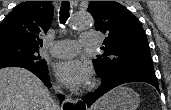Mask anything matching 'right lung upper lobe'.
<instances>
[{
	"label": "right lung upper lobe",
	"mask_w": 171,
	"mask_h": 110,
	"mask_svg": "<svg viewBox=\"0 0 171 110\" xmlns=\"http://www.w3.org/2000/svg\"><path fill=\"white\" fill-rule=\"evenodd\" d=\"M53 17L52 1H28L16 6L0 25V45L38 48Z\"/></svg>",
	"instance_id": "cb5924a9"
}]
</instances>
